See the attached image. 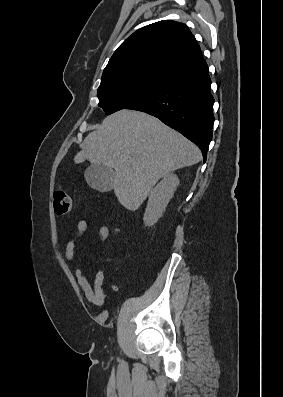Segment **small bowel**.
<instances>
[{
	"instance_id": "small-bowel-1",
	"label": "small bowel",
	"mask_w": 283,
	"mask_h": 397,
	"mask_svg": "<svg viewBox=\"0 0 283 397\" xmlns=\"http://www.w3.org/2000/svg\"><path fill=\"white\" fill-rule=\"evenodd\" d=\"M88 229V222L85 219H80L76 226L75 236L68 241L65 248V259L71 262L75 256V249L78 240L86 233ZM110 235V230L107 226H100L98 230V238L100 241H105ZM74 275L78 285L82 289L86 299L96 306H102L105 301L106 292L103 286L104 273L98 271L95 275L94 282L91 285L85 277L83 270L77 267L74 270Z\"/></svg>"
}]
</instances>
